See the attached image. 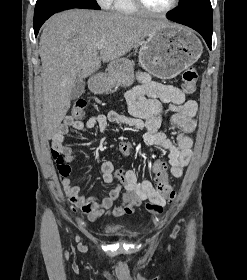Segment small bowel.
Wrapping results in <instances>:
<instances>
[{"label":"small bowel","instance_id":"obj_1","mask_svg":"<svg viewBox=\"0 0 247 280\" xmlns=\"http://www.w3.org/2000/svg\"><path fill=\"white\" fill-rule=\"evenodd\" d=\"M138 80L139 85L126 95L130 116L114 110L91 116L86 121L67 116L52 132V155L61 156L66 165L76 160L72 148L64 143V137L70 128L82 131L97 127L100 132H104L109 123H117L136 129H146L145 143L168 151L170 173L173 177L180 178L192 156L193 142L189 134L196 127L194 117L197 113V103L194 100H187L177 87L156 82L147 73L140 72ZM167 110L173 112L171 124L179 129L174 140L159 130ZM70 172L71 169L68 173H59L63 189L69 200L92 221L104 215L119 217L132 214L134 208L143 201H148L146 208L149 212L160 213L166 203V199L153 188L148 178L139 180L136 173L131 170L125 175L130 181V186L126 190L110 189L102 196L81 194L80 187L70 178ZM101 174L105 183H112L115 178L113 163L104 162ZM119 198L120 204L112 208Z\"/></svg>","mask_w":247,"mask_h":280}]
</instances>
